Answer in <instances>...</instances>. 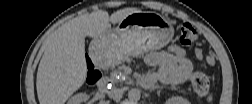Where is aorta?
Segmentation results:
<instances>
[{"label":"aorta","mask_w":252,"mask_h":104,"mask_svg":"<svg viewBox=\"0 0 252 104\" xmlns=\"http://www.w3.org/2000/svg\"><path fill=\"white\" fill-rule=\"evenodd\" d=\"M140 97H141V92L139 89L132 88L128 91V98L130 101L137 102L139 101Z\"/></svg>","instance_id":"obj_1"}]
</instances>
